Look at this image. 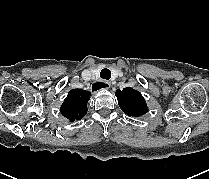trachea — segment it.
<instances>
[{
	"mask_svg": "<svg viewBox=\"0 0 209 179\" xmlns=\"http://www.w3.org/2000/svg\"><path fill=\"white\" fill-rule=\"evenodd\" d=\"M100 77L109 80L111 78V71L107 68L102 69Z\"/></svg>",
	"mask_w": 209,
	"mask_h": 179,
	"instance_id": "obj_1",
	"label": "trachea"
}]
</instances>
